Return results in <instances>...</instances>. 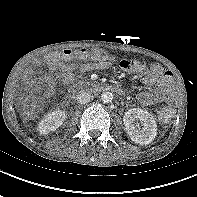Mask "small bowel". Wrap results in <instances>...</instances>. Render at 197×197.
<instances>
[{"mask_svg":"<svg viewBox=\"0 0 197 197\" xmlns=\"http://www.w3.org/2000/svg\"><path fill=\"white\" fill-rule=\"evenodd\" d=\"M129 62L130 67L124 69L130 73L141 75L142 83L147 88V90L138 95V100L142 105L150 106L172 99V77L170 73L164 71L161 65L145 66L136 60H129ZM36 64H46L52 73L44 78V81L49 86H53L58 80L70 81L75 70V65L65 64L60 60L53 61L50 59V56L45 61L38 60ZM106 66V62H86L81 65V70L87 72L93 69H103Z\"/></svg>","mask_w":197,"mask_h":197,"instance_id":"c3829d8e","label":"small bowel"}]
</instances>
